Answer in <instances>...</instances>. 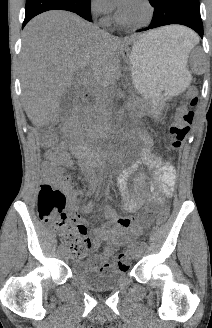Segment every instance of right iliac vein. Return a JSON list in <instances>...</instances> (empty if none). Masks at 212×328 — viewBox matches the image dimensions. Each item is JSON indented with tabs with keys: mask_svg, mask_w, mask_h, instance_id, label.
Masks as SVG:
<instances>
[{
	"mask_svg": "<svg viewBox=\"0 0 212 328\" xmlns=\"http://www.w3.org/2000/svg\"><path fill=\"white\" fill-rule=\"evenodd\" d=\"M62 255H63V257H64L65 259H68V258H69V252H68L67 250H64V251L62 252Z\"/></svg>",
	"mask_w": 212,
	"mask_h": 328,
	"instance_id": "obj_1",
	"label": "right iliac vein"
}]
</instances>
